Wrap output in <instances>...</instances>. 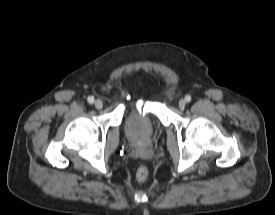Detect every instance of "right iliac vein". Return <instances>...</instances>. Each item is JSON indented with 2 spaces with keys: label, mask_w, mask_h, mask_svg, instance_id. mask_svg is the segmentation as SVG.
<instances>
[{
  "label": "right iliac vein",
  "mask_w": 275,
  "mask_h": 215,
  "mask_svg": "<svg viewBox=\"0 0 275 215\" xmlns=\"http://www.w3.org/2000/svg\"><path fill=\"white\" fill-rule=\"evenodd\" d=\"M95 107L97 109H101L103 107V102L101 100H96L95 101Z\"/></svg>",
  "instance_id": "obj_1"
}]
</instances>
